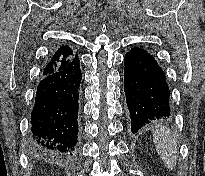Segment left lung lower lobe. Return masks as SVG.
<instances>
[{"instance_id": "left-lung-lower-lobe-1", "label": "left lung lower lobe", "mask_w": 205, "mask_h": 176, "mask_svg": "<svg viewBox=\"0 0 205 176\" xmlns=\"http://www.w3.org/2000/svg\"><path fill=\"white\" fill-rule=\"evenodd\" d=\"M124 91L133 133L171 115L164 71L146 50L134 47L124 57Z\"/></svg>"}]
</instances>
